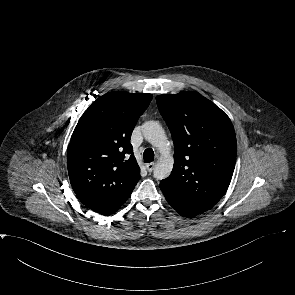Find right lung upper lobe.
I'll list each match as a JSON object with an SVG mask.
<instances>
[{"label": "right lung upper lobe", "instance_id": "obj_1", "mask_svg": "<svg viewBox=\"0 0 295 295\" xmlns=\"http://www.w3.org/2000/svg\"><path fill=\"white\" fill-rule=\"evenodd\" d=\"M151 94L113 91L81 116L67 149L68 174L78 199L102 215L115 213L140 179L130 144Z\"/></svg>", "mask_w": 295, "mask_h": 295}]
</instances>
